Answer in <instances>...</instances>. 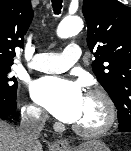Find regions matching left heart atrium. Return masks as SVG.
Listing matches in <instances>:
<instances>
[{
  "label": "left heart atrium",
  "mask_w": 131,
  "mask_h": 151,
  "mask_svg": "<svg viewBox=\"0 0 131 151\" xmlns=\"http://www.w3.org/2000/svg\"><path fill=\"white\" fill-rule=\"evenodd\" d=\"M30 92L36 103L59 120L75 123L80 117L85 96L78 83L58 77H42L31 84Z\"/></svg>",
  "instance_id": "left-heart-atrium-1"
}]
</instances>
